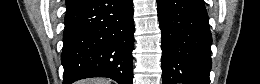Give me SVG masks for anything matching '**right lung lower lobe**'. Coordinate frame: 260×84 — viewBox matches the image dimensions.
I'll list each match as a JSON object with an SVG mask.
<instances>
[{"label": "right lung lower lobe", "instance_id": "1", "mask_svg": "<svg viewBox=\"0 0 260 84\" xmlns=\"http://www.w3.org/2000/svg\"><path fill=\"white\" fill-rule=\"evenodd\" d=\"M133 14L132 0H82L67 10L63 84L89 77L132 84Z\"/></svg>", "mask_w": 260, "mask_h": 84}]
</instances>
